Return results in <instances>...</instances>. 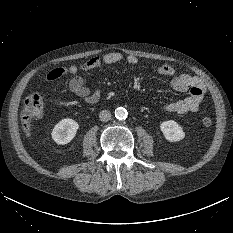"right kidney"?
I'll use <instances>...</instances> for the list:
<instances>
[{"mask_svg": "<svg viewBox=\"0 0 233 233\" xmlns=\"http://www.w3.org/2000/svg\"><path fill=\"white\" fill-rule=\"evenodd\" d=\"M79 129L78 123L70 118L59 121L51 133L53 140L59 145H65L72 141Z\"/></svg>", "mask_w": 233, "mask_h": 233, "instance_id": "right-kidney-1", "label": "right kidney"}]
</instances>
